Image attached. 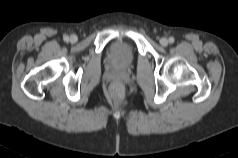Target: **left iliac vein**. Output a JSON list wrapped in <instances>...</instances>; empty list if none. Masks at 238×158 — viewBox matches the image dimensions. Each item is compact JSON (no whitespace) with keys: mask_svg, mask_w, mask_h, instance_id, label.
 <instances>
[{"mask_svg":"<svg viewBox=\"0 0 238 158\" xmlns=\"http://www.w3.org/2000/svg\"><path fill=\"white\" fill-rule=\"evenodd\" d=\"M160 44H161L162 46H167V45H168V39L165 38V37L161 38V39H160Z\"/></svg>","mask_w":238,"mask_h":158,"instance_id":"left-iliac-vein-1","label":"left iliac vein"}]
</instances>
